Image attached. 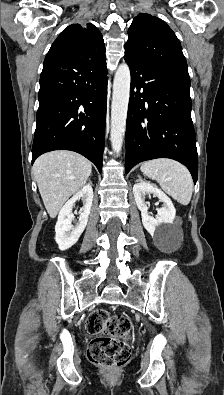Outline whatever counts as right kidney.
<instances>
[{
    "instance_id": "right-kidney-1",
    "label": "right kidney",
    "mask_w": 224,
    "mask_h": 395,
    "mask_svg": "<svg viewBox=\"0 0 224 395\" xmlns=\"http://www.w3.org/2000/svg\"><path fill=\"white\" fill-rule=\"evenodd\" d=\"M80 198H82L84 201V206L79 216L78 223L76 226H73L72 220L74 219V215L72 213V209L75 205V202ZM92 201L93 189L91 184H87L62 207L55 225V241L58 244L60 250L64 251L69 249L80 238L88 222Z\"/></svg>"
}]
</instances>
